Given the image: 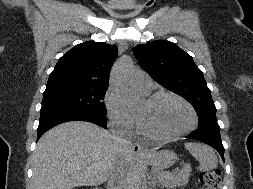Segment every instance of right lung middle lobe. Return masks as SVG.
<instances>
[{
	"mask_svg": "<svg viewBox=\"0 0 253 189\" xmlns=\"http://www.w3.org/2000/svg\"><path fill=\"white\" fill-rule=\"evenodd\" d=\"M108 87L60 86L44 92L41 111L69 110L105 116L106 106L102 100Z\"/></svg>",
	"mask_w": 253,
	"mask_h": 189,
	"instance_id": "right-lung-middle-lobe-1",
	"label": "right lung middle lobe"
}]
</instances>
